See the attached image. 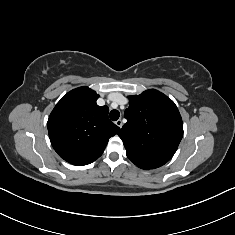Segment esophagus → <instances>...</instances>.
<instances>
[{
	"label": "esophagus",
	"mask_w": 235,
	"mask_h": 235,
	"mask_svg": "<svg viewBox=\"0 0 235 235\" xmlns=\"http://www.w3.org/2000/svg\"><path fill=\"white\" fill-rule=\"evenodd\" d=\"M115 124L119 127V128H122L123 126V123H122V120L121 119H118Z\"/></svg>",
	"instance_id": "obj_1"
}]
</instances>
